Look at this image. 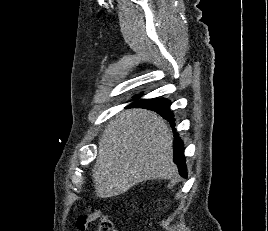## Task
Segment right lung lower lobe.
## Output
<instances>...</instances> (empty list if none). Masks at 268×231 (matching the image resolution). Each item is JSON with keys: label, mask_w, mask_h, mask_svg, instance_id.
<instances>
[{"label": "right lung lower lobe", "mask_w": 268, "mask_h": 231, "mask_svg": "<svg viewBox=\"0 0 268 231\" xmlns=\"http://www.w3.org/2000/svg\"><path fill=\"white\" fill-rule=\"evenodd\" d=\"M131 107H142L145 108L141 105H138L136 103H133L130 105ZM159 113L161 116H163L165 119H167L173 129H174V119H173V114L169 110V108H166L161 111H156ZM173 150H174V162L178 165L179 173L183 176L186 177V166H185V158H184V151H183V142L179 138L178 134L175 133V138H174V143H173Z\"/></svg>", "instance_id": "obj_1"}]
</instances>
